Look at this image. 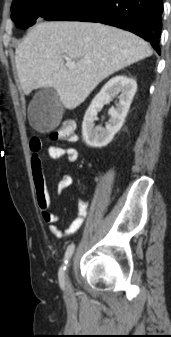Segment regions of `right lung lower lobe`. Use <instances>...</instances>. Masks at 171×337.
Listing matches in <instances>:
<instances>
[{"label":"right lung lower lobe","instance_id":"98d812e1","mask_svg":"<svg viewBox=\"0 0 171 337\" xmlns=\"http://www.w3.org/2000/svg\"><path fill=\"white\" fill-rule=\"evenodd\" d=\"M162 0H68L46 20L100 22L131 31L160 54Z\"/></svg>","mask_w":171,"mask_h":337}]
</instances>
